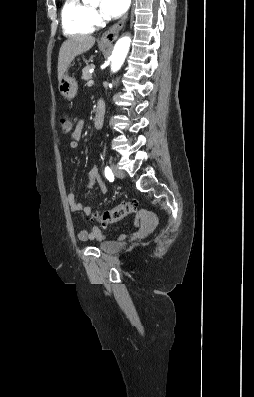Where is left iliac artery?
<instances>
[{"label":"left iliac artery","instance_id":"obj_1","mask_svg":"<svg viewBox=\"0 0 254 397\" xmlns=\"http://www.w3.org/2000/svg\"><path fill=\"white\" fill-rule=\"evenodd\" d=\"M104 173H105L106 178H107L110 182H112V181L114 180V175H113L111 169H110L108 166L105 167Z\"/></svg>","mask_w":254,"mask_h":397}]
</instances>
